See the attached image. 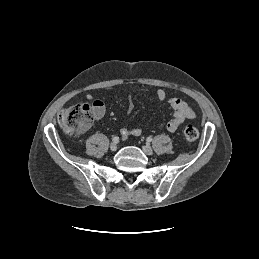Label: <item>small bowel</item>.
<instances>
[{"label":"small bowel","mask_w":259,"mask_h":259,"mask_svg":"<svg viewBox=\"0 0 259 259\" xmlns=\"http://www.w3.org/2000/svg\"><path fill=\"white\" fill-rule=\"evenodd\" d=\"M108 90H111V88H108ZM147 88H140L137 90H132L127 92L128 98H131L133 93L135 92H147ZM156 98L159 102H163L166 99V93L163 89H158L156 91ZM87 100H94L95 95L92 92H88L86 94ZM169 106L171 107L173 114L172 119L168 121L167 123L163 124L161 127L166 129L167 131L174 132L177 130L182 123L187 119H193L195 117V112L193 108L184 100L180 98H171L168 101ZM94 108H95V118L100 119L105 111L104 104L101 100H94L93 102ZM134 105L131 101H129L127 106V113L130 115L133 111ZM142 133L141 128H122L121 129V136L123 139H127L130 136H139Z\"/></svg>","instance_id":"c3829d8e"}]
</instances>
